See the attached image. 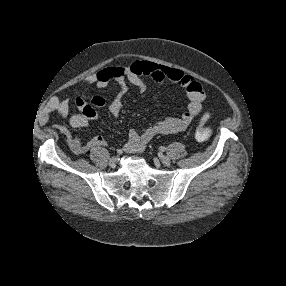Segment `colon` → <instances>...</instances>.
Returning a JSON list of instances; mask_svg holds the SVG:
<instances>
[{
	"instance_id": "5ec220e1",
	"label": "colon",
	"mask_w": 286,
	"mask_h": 286,
	"mask_svg": "<svg viewBox=\"0 0 286 286\" xmlns=\"http://www.w3.org/2000/svg\"><path fill=\"white\" fill-rule=\"evenodd\" d=\"M209 118V114L205 113L195 130V138L199 141L208 139L211 136V129L205 126Z\"/></svg>"
}]
</instances>
